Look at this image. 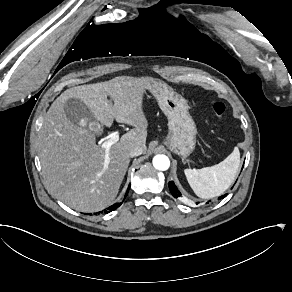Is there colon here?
<instances>
[{"label":"colon","instance_id":"1","mask_svg":"<svg viewBox=\"0 0 292 292\" xmlns=\"http://www.w3.org/2000/svg\"><path fill=\"white\" fill-rule=\"evenodd\" d=\"M212 111L217 120L224 118L226 114V105L221 101H216L212 104Z\"/></svg>","mask_w":292,"mask_h":292}]
</instances>
